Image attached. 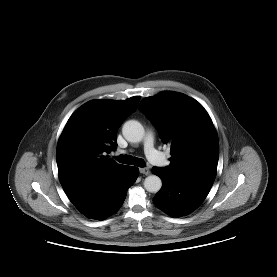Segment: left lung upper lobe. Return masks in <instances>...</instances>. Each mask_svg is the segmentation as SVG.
<instances>
[{
  "label": "left lung upper lobe",
  "mask_w": 277,
  "mask_h": 277,
  "mask_svg": "<svg viewBox=\"0 0 277 277\" xmlns=\"http://www.w3.org/2000/svg\"><path fill=\"white\" fill-rule=\"evenodd\" d=\"M138 108L171 144L167 170L183 176L215 179L219 142L212 120L203 106L187 95L162 92L141 101Z\"/></svg>",
  "instance_id": "obj_1"
}]
</instances>
